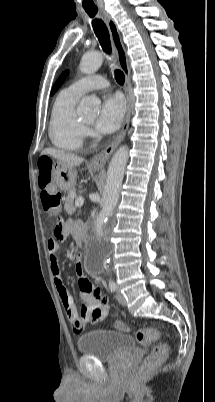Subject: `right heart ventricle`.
<instances>
[{
  "instance_id": "right-heart-ventricle-1",
  "label": "right heart ventricle",
  "mask_w": 215,
  "mask_h": 402,
  "mask_svg": "<svg viewBox=\"0 0 215 402\" xmlns=\"http://www.w3.org/2000/svg\"><path fill=\"white\" fill-rule=\"evenodd\" d=\"M80 95L70 89L58 93L53 103L49 137L54 146L63 150L75 151L81 148L85 127L76 113Z\"/></svg>"
}]
</instances>
